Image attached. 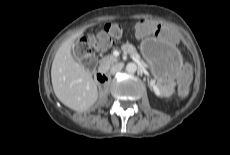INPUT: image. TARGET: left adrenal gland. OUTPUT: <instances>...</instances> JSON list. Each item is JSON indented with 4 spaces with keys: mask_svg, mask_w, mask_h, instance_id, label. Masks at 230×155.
Masks as SVG:
<instances>
[{
    "mask_svg": "<svg viewBox=\"0 0 230 155\" xmlns=\"http://www.w3.org/2000/svg\"><path fill=\"white\" fill-rule=\"evenodd\" d=\"M147 80H148V85H149L150 89H152L151 86H150V84H149V79H147Z\"/></svg>",
    "mask_w": 230,
    "mask_h": 155,
    "instance_id": "obj_1",
    "label": "left adrenal gland"
}]
</instances>
